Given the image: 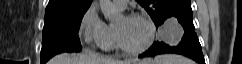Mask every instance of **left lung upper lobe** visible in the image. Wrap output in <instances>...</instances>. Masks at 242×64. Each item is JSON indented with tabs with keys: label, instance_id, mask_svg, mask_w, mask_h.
Listing matches in <instances>:
<instances>
[{
	"label": "left lung upper lobe",
	"instance_id": "1",
	"mask_svg": "<svg viewBox=\"0 0 242 64\" xmlns=\"http://www.w3.org/2000/svg\"><path fill=\"white\" fill-rule=\"evenodd\" d=\"M151 16L156 27L175 13L184 9H191L190 0H137Z\"/></svg>",
	"mask_w": 242,
	"mask_h": 64
}]
</instances>
